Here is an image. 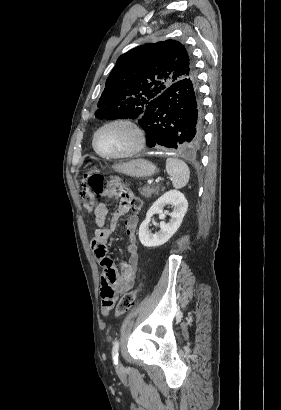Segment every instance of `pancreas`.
Segmentation results:
<instances>
[{
    "label": "pancreas",
    "mask_w": 281,
    "mask_h": 410,
    "mask_svg": "<svg viewBox=\"0 0 281 410\" xmlns=\"http://www.w3.org/2000/svg\"><path fill=\"white\" fill-rule=\"evenodd\" d=\"M140 194L144 197H151L152 194H158L160 191V187H149L144 186L143 188H139Z\"/></svg>",
    "instance_id": "obj_1"
}]
</instances>
